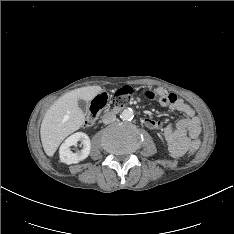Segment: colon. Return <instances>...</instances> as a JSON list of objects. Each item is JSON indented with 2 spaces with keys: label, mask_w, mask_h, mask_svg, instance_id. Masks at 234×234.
<instances>
[{
  "label": "colon",
  "mask_w": 234,
  "mask_h": 234,
  "mask_svg": "<svg viewBox=\"0 0 234 234\" xmlns=\"http://www.w3.org/2000/svg\"><path fill=\"white\" fill-rule=\"evenodd\" d=\"M133 94V88L130 86H124L118 89L111 98V105L112 106H124L127 105L131 99ZM146 97L150 99H157L159 94L156 91L147 90L145 92ZM108 98L107 95L101 93L97 95L91 102L90 110L88 116L86 118L85 124L86 126H90L94 123L102 109L107 105ZM203 146L202 140H194L191 146L188 147V152L184 153L185 159L191 158V153H194L195 150H199L200 147Z\"/></svg>",
  "instance_id": "colon-1"
}]
</instances>
